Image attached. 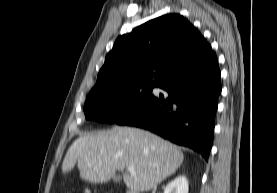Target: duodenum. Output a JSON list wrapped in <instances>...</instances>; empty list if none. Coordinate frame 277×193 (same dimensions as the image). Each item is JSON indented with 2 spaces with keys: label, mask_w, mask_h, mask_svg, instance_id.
Listing matches in <instances>:
<instances>
[{
  "label": "duodenum",
  "mask_w": 277,
  "mask_h": 193,
  "mask_svg": "<svg viewBox=\"0 0 277 193\" xmlns=\"http://www.w3.org/2000/svg\"><path fill=\"white\" fill-rule=\"evenodd\" d=\"M127 193H137V192L134 190H129Z\"/></svg>",
  "instance_id": "duodenum-1"
}]
</instances>
